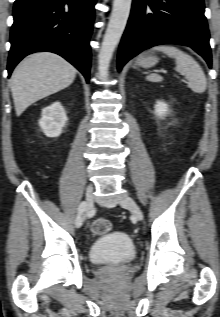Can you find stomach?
Listing matches in <instances>:
<instances>
[{
    "label": "stomach",
    "mask_w": 220,
    "mask_h": 317,
    "mask_svg": "<svg viewBox=\"0 0 220 317\" xmlns=\"http://www.w3.org/2000/svg\"><path fill=\"white\" fill-rule=\"evenodd\" d=\"M157 62V56L152 53H144L137 57L135 65L141 66L143 68H149L154 66Z\"/></svg>",
    "instance_id": "obj_1"
}]
</instances>
